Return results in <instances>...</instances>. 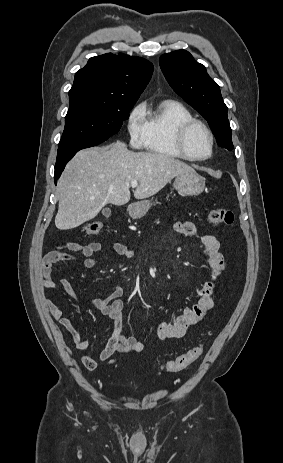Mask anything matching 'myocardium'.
<instances>
[{
  "label": "myocardium",
  "mask_w": 283,
  "mask_h": 463,
  "mask_svg": "<svg viewBox=\"0 0 283 463\" xmlns=\"http://www.w3.org/2000/svg\"><path fill=\"white\" fill-rule=\"evenodd\" d=\"M196 126H200L201 128H203L210 139V146H211L210 153L204 157L194 156L193 154H191V152L189 151L187 147L188 134ZM176 146L178 150L180 151V153L186 159L190 161H197V162L205 161V160L210 159L215 152V136H214L212 129L205 122H203L202 120L193 118L183 123L179 127L177 131V135H176Z\"/></svg>",
  "instance_id": "f54148a6"
}]
</instances>
